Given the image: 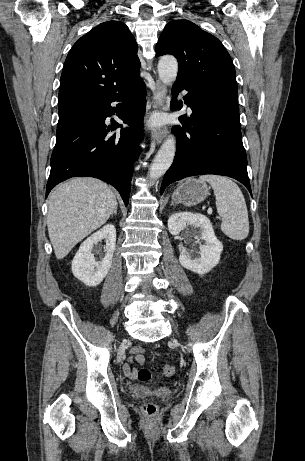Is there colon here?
Returning a JSON list of instances; mask_svg holds the SVG:
<instances>
[{"label": "colon", "mask_w": 305, "mask_h": 461, "mask_svg": "<svg viewBox=\"0 0 305 461\" xmlns=\"http://www.w3.org/2000/svg\"><path fill=\"white\" fill-rule=\"evenodd\" d=\"M176 373V368L172 364H166L162 368V374L166 377H171ZM137 378L141 382H148L152 378V373L147 368H141L137 372ZM143 412L149 416L153 417L157 413V406L153 402H147L142 407Z\"/></svg>", "instance_id": "colon-1"}]
</instances>
